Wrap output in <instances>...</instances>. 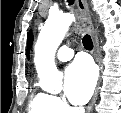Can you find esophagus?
Masks as SVG:
<instances>
[{
    "mask_svg": "<svg viewBox=\"0 0 121 113\" xmlns=\"http://www.w3.org/2000/svg\"><path fill=\"white\" fill-rule=\"evenodd\" d=\"M76 2H77L78 9H79V11L81 12V14L83 16V25L89 31V33H90V35L92 37V40H93L94 58L98 63H100L99 48H98L99 44H98L97 36H96V34H95L94 30H93V27H92V22H91V19H90V11H89V7H88V3H87L86 0H76ZM99 84H100V81H99V83L97 85V88L95 90L93 98H92L90 104L87 107V112L91 111V109L93 108L94 103L97 100Z\"/></svg>",
    "mask_w": 121,
    "mask_h": 113,
    "instance_id": "1",
    "label": "esophagus"
}]
</instances>
